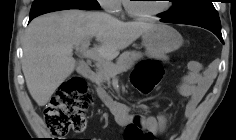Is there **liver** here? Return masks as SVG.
I'll use <instances>...</instances> for the list:
<instances>
[{
  "label": "liver",
  "mask_w": 236,
  "mask_h": 140,
  "mask_svg": "<svg viewBox=\"0 0 236 140\" xmlns=\"http://www.w3.org/2000/svg\"><path fill=\"white\" fill-rule=\"evenodd\" d=\"M155 23L123 22L103 12L65 10L35 18L23 40L22 71L30 95L39 106L48 103L55 90L75 67L73 46L95 37V50L112 60Z\"/></svg>",
  "instance_id": "6515ba94"
}]
</instances>
